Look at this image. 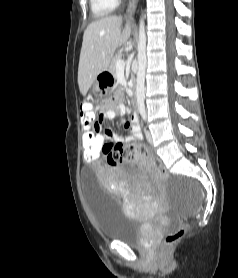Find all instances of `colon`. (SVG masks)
Returning <instances> with one entry per match:
<instances>
[{
	"mask_svg": "<svg viewBox=\"0 0 238 278\" xmlns=\"http://www.w3.org/2000/svg\"><path fill=\"white\" fill-rule=\"evenodd\" d=\"M101 119L95 106L91 102L83 104L81 109L80 127H92ZM81 136H95L93 128L81 131ZM83 159L85 162H98L102 159L103 146L105 141L103 137H84L83 138ZM108 163L116 165L126 159L140 158L145 160L151 167L155 168L157 173L162 179L168 177V172L160 159L154 158L149 155L146 147L139 144H129L123 146L118 143H109L104 147ZM187 224H183L177 229L169 232L164 239V245L170 247L177 243L184 235Z\"/></svg>",
	"mask_w": 238,
	"mask_h": 278,
	"instance_id": "5ec220e1",
	"label": "colon"
}]
</instances>
